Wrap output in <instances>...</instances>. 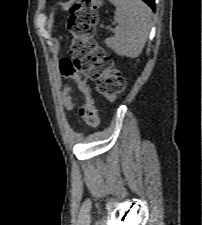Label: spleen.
Returning a JSON list of instances; mask_svg holds the SVG:
<instances>
[{"label": "spleen", "instance_id": "3e777b00", "mask_svg": "<svg viewBox=\"0 0 202 225\" xmlns=\"http://www.w3.org/2000/svg\"><path fill=\"white\" fill-rule=\"evenodd\" d=\"M116 8L118 23L114 37L105 40L116 54L138 57L144 48L152 25V11L141 0H109Z\"/></svg>", "mask_w": 202, "mask_h": 225}]
</instances>
